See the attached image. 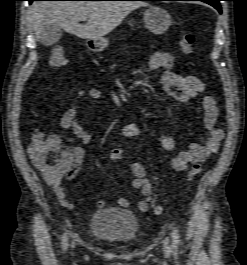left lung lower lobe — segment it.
Instances as JSON below:
<instances>
[{
	"mask_svg": "<svg viewBox=\"0 0 247 265\" xmlns=\"http://www.w3.org/2000/svg\"><path fill=\"white\" fill-rule=\"evenodd\" d=\"M144 1H167V0H144ZM189 1H203L215 7L221 13V7L219 5V1H207V0H189Z\"/></svg>",
	"mask_w": 247,
	"mask_h": 265,
	"instance_id": "1",
	"label": "left lung lower lobe"
}]
</instances>
